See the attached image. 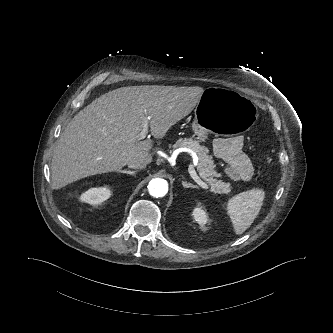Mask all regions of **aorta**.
I'll use <instances>...</instances> for the list:
<instances>
[{"label": "aorta", "mask_w": 333, "mask_h": 333, "mask_svg": "<svg viewBox=\"0 0 333 333\" xmlns=\"http://www.w3.org/2000/svg\"><path fill=\"white\" fill-rule=\"evenodd\" d=\"M148 191L153 197H164L168 192V183L161 178L152 179L148 184Z\"/></svg>", "instance_id": "aorta-1"}]
</instances>
